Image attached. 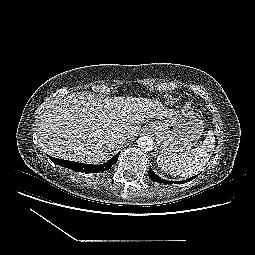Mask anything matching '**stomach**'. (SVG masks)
<instances>
[{"instance_id": "0dacf381", "label": "stomach", "mask_w": 255, "mask_h": 255, "mask_svg": "<svg viewBox=\"0 0 255 255\" xmlns=\"http://www.w3.org/2000/svg\"><path fill=\"white\" fill-rule=\"evenodd\" d=\"M203 125L197 113L181 110L163 121L151 122L146 129L155 133L162 152L174 154L192 148L203 133Z\"/></svg>"}]
</instances>
